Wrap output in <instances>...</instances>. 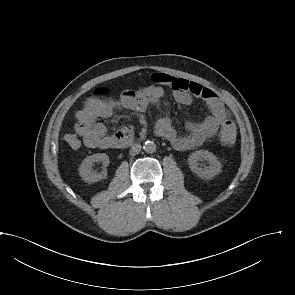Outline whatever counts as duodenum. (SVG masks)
<instances>
[{
    "label": "duodenum",
    "mask_w": 295,
    "mask_h": 295,
    "mask_svg": "<svg viewBox=\"0 0 295 295\" xmlns=\"http://www.w3.org/2000/svg\"><path fill=\"white\" fill-rule=\"evenodd\" d=\"M133 143L131 136L122 137L115 142L116 147H126Z\"/></svg>",
    "instance_id": "1"
}]
</instances>
